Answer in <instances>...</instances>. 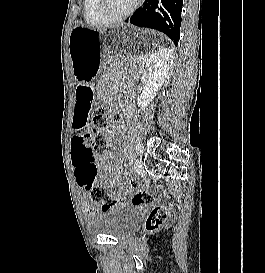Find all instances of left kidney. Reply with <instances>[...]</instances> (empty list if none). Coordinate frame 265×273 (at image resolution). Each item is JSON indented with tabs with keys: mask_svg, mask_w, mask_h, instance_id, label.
<instances>
[{
	"mask_svg": "<svg viewBox=\"0 0 265 273\" xmlns=\"http://www.w3.org/2000/svg\"><path fill=\"white\" fill-rule=\"evenodd\" d=\"M173 59V50L167 48L155 51L149 59H147L146 68L149 71V76L138 98V107L144 109L157 95L168 75Z\"/></svg>",
	"mask_w": 265,
	"mask_h": 273,
	"instance_id": "1",
	"label": "left kidney"
}]
</instances>
